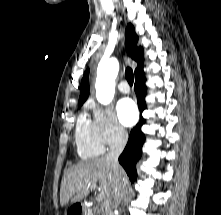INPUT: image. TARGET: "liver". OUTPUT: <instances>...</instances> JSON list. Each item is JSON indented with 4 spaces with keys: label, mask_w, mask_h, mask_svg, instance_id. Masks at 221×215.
<instances>
[{
    "label": "liver",
    "mask_w": 221,
    "mask_h": 215,
    "mask_svg": "<svg viewBox=\"0 0 221 215\" xmlns=\"http://www.w3.org/2000/svg\"><path fill=\"white\" fill-rule=\"evenodd\" d=\"M120 175L124 184L126 174L121 167ZM97 183H99V197L104 202L112 198L115 178L111 164L105 157L95 158L69 168L61 182V206H65L69 201L71 203L81 202L92 187L96 188Z\"/></svg>",
    "instance_id": "liver-1"
}]
</instances>
